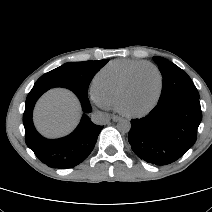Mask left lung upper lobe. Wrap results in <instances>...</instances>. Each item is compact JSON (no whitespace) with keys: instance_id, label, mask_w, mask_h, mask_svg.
<instances>
[{"instance_id":"obj_1","label":"left lung upper lobe","mask_w":212,"mask_h":212,"mask_svg":"<svg viewBox=\"0 0 212 212\" xmlns=\"http://www.w3.org/2000/svg\"><path fill=\"white\" fill-rule=\"evenodd\" d=\"M163 75V86L159 101L184 95L199 99L198 91L190 77L178 66L162 57H153Z\"/></svg>"}]
</instances>
